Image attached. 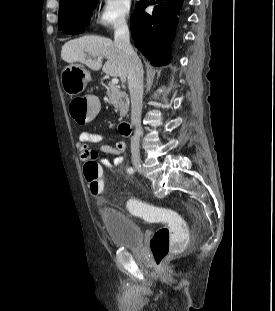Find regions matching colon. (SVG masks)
Returning <instances> with one entry per match:
<instances>
[{
  "mask_svg": "<svg viewBox=\"0 0 275 311\" xmlns=\"http://www.w3.org/2000/svg\"><path fill=\"white\" fill-rule=\"evenodd\" d=\"M99 97H78L71 101L70 108L80 125H93L94 117L101 113ZM85 177L93 195H99L103 190L101 168L91 160L85 167ZM130 210L146 219L159 220L164 223L157 229L150 240V250L155 264L160 267L172 253L181 251L188 242L187 230L182 217L168 208H155L143 202L130 204Z\"/></svg>",
  "mask_w": 275,
  "mask_h": 311,
  "instance_id": "obj_1",
  "label": "colon"
}]
</instances>
